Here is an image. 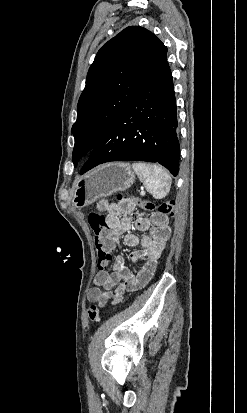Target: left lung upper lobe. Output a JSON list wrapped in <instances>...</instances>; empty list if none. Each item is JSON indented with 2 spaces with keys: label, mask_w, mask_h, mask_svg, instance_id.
<instances>
[{
  "label": "left lung upper lobe",
  "mask_w": 247,
  "mask_h": 413,
  "mask_svg": "<svg viewBox=\"0 0 247 413\" xmlns=\"http://www.w3.org/2000/svg\"><path fill=\"white\" fill-rule=\"evenodd\" d=\"M167 47L150 31L130 26L97 53L79 98L72 160L90 153L103 134L166 60Z\"/></svg>",
  "instance_id": "left-lung-upper-lobe-1"
}]
</instances>
